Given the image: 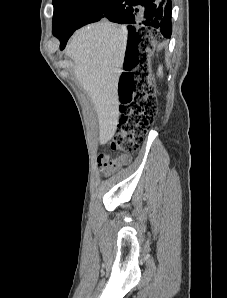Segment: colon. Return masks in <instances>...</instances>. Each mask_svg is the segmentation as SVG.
Here are the masks:
<instances>
[{
	"mask_svg": "<svg viewBox=\"0 0 227 298\" xmlns=\"http://www.w3.org/2000/svg\"><path fill=\"white\" fill-rule=\"evenodd\" d=\"M142 30L131 43L124 71L118 82L120 117L110 147L113 151L138 150L157 113V98L151 78L149 58L152 41L143 39Z\"/></svg>",
	"mask_w": 227,
	"mask_h": 298,
	"instance_id": "obj_1",
	"label": "colon"
}]
</instances>
